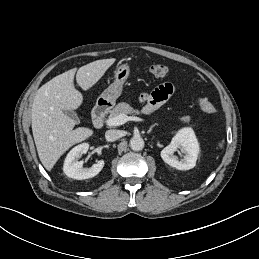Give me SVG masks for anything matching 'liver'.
Wrapping results in <instances>:
<instances>
[{
    "label": "liver",
    "instance_id": "obj_1",
    "mask_svg": "<svg viewBox=\"0 0 259 259\" xmlns=\"http://www.w3.org/2000/svg\"><path fill=\"white\" fill-rule=\"evenodd\" d=\"M115 58L102 59L80 67L76 74L78 85L84 90L95 85ZM76 69L68 70L38 89L32 104V132L38 156L50 171L58 159L74 144L93 135V130L78 127L64 111L75 110L83 102L81 92L74 87Z\"/></svg>",
    "mask_w": 259,
    "mask_h": 259
}]
</instances>
